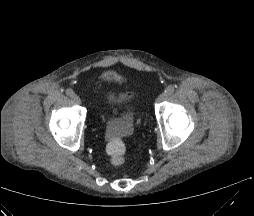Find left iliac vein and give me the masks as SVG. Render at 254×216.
Here are the masks:
<instances>
[{"mask_svg":"<svg viewBox=\"0 0 254 216\" xmlns=\"http://www.w3.org/2000/svg\"><path fill=\"white\" fill-rule=\"evenodd\" d=\"M168 98V95L166 93H162L161 95L158 96L156 99L157 103L163 102Z\"/></svg>","mask_w":254,"mask_h":216,"instance_id":"1","label":"left iliac vein"}]
</instances>
